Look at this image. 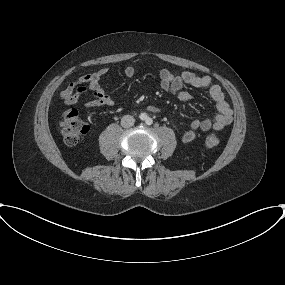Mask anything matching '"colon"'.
<instances>
[{
  "instance_id": "5ec220e1",
  "label": "colon",
  "mask_w": 285,
  "mask_h": 285,
  "mask_svg": "<svg viewBox=\"0 0 285 285\" xmlns=\"http://www.w3.org/2000/svg\"><path fill=\"white\" fill-rule=\"evenodd\" d=\"M60 127L63 140L69 146L76 145L89 131L87 123L74 109L64 112ZM204 143L207 147L212 148L219 144V138L215 133H209L206 135Z\"/></svg>"
}]
</instances>
